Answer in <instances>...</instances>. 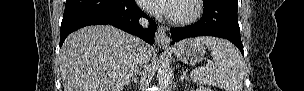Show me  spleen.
Returning a JSON list of instances; mask_svg holds the SVG:
<instances>
[{"label":"spleen","instance_id":"spleen-1","mask_svg":"<svg viewBox=\"0 0 304 91\" xmlns=\"http://www.w3.org/2000/svg\"><path fill=\"white\" fill-rule=\"evenodd\" d=\"M211 51L213 62L190 73L193 82L217 86L226 91H242L244 81L243 61L239 51L228 40L215 37L198 38Z\"/></svg>","mask_w":304,"mask_h":91}]
</instances>
